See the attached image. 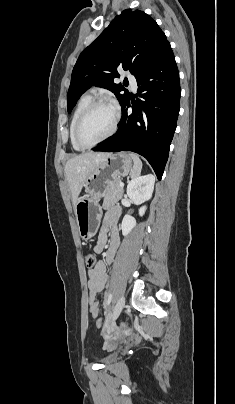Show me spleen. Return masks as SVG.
<instances>
[{
	"label": "spleen",
	"instance_id": "obj_1",
	"mask_svg": "<svg viewBox=\"0 0 235 404\" xmlns=\"http://www.w3.org/2000/svg\"><path fill=\"white\" fill-rule=\"evenodd\" d=\"M129 155L132 158L133 163H134L133 169L130 172V175H131V178H135V177L139 176L141 173L142 162H141L140 158L138 157V155H136L134 153H130Z\"/></svg>",
	"mask_w": 235,
	"mask_h": 404
}]
</instances>
